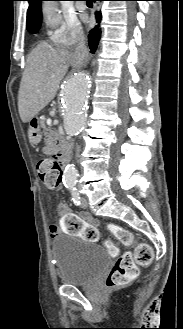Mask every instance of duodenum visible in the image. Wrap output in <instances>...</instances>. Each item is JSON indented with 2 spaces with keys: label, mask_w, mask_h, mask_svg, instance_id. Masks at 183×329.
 I'll use <instances>...</instances> for the list:
<instances>
[{
  "label": "duodenum",
  "mask_w": 183,
  "mask_h": 329,
  "mask_svg": "<svg viewBox=\"0 0 183 329\" xmlns=\"http://www.w3.org/2000/svg\"><path fill=\"white\" fill-rule=\"evenodd\" d=\"M69 145L65 140H61L58 149L57 154L59 156L60 163L64 166L66 165L68 161V153H69Z\"/></svg>",
  "instance_id": "obj_1"
}]
</instances>
